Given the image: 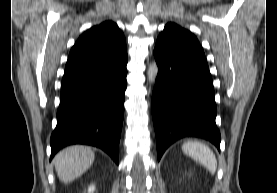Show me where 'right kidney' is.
<instances>
[{
	"mask_svg": "<svg viewBox=\"0 0 277 193\" xmlns=\"http://www.w3.org/2000/svg\"><path fill=\"white\" fill-rule=\"evenodd\" d=\"M95 190V186L94 185H91L89 188H88V193H93Z\"/></svg>",
	"mask_w": 277,
	"mask_h": 193,
	"instance_id": "right-kidney-1",
	"label": "right kidney"
}]
</instances>
